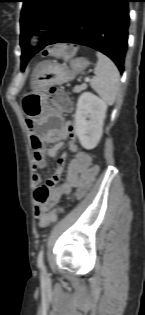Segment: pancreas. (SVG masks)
Listing matches in <instances>:
<instances>
[{
    "instance_id": "1",
    "label": "pancreas",
    "mask_w": 145,
    "mask_h": 315,
    "mask_svg": "<svg viewBox=\"0 0 145 315\" xmlns=\"http://www.w3.org/2000/svg\"><path fill=\"white\" fill-rule=\"evenodd\" d=\"M86 85H79V86H76L75 88H74V92L75 93H79V92H81L82 90H84V89H86Z\"/></svg>"
}]
</instances>
